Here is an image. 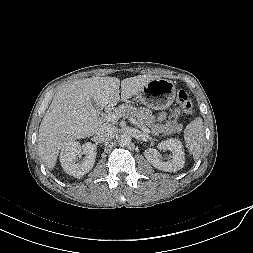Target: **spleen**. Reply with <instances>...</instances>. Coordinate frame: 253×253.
I'll return each mask as SVG.
<instances>
[{
	"instance_id": "spleen-1",
	"label": "spleen",
	"mask_w": 253,
	"mask_h": 253,
	"mask_svg": "<svg viewBox=\"0 0 253 253\" xmlns=\"http://www.w3.org/2000/svg\"><path fill=\"white\" fill-rule=\"evenodd\" d=\"M184 140L193 158L195 160L198 159L202 153L204 142V126L201 117L195 118L186 126Z\"/></svg>"
}]
</instances>
